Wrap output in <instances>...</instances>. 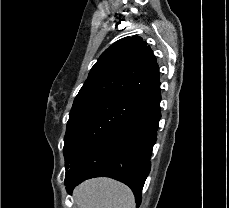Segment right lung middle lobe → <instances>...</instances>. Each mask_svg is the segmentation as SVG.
<instances>
[{"instance_id": "obj_1", "label": "right lung middle lobe", "mask_w": 229, "mask_h": 208, "mask_svg": "<svg viewBox=\"0 0 229 208\" xmlns=\"http://www.w3.org/2000/svg\"><path fill=\"white\" fill-rule=\"evenodd\" d=\"M144 108V104L120 96L100 97L72 107L63 148L66 173L92 145Z\"/></svg>"}]
</instances>
